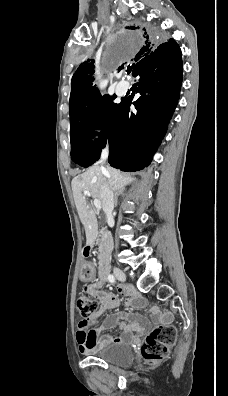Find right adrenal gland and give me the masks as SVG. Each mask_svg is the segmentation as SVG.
Instances as JSON below:
<instances>
[{
  "label": "right adrenal gland",
  "mask_w": 228,
  "mask_h": 396,
  "mask_svg": "<svg viewBox=\"0 0 228 396\" xmlns=\"http://www.w3.org/2000/svg\"><path fill=\"white\" fill-rule=\"evenodd\" d=\"M124 196V190H117L115 191L114 194V199H115V207L117 206V202H118V196Z\"/></svg>",
  "instance_id": "obj_1"
}]
</instances>
